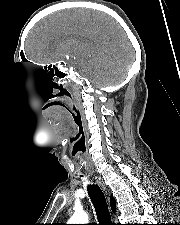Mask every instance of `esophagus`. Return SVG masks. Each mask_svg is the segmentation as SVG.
Wrapping results in <instances>:
<instances>
[{
  "instance_id": "esophagus-1",
  "label": "esophagus",
  "mask_w": 180,
  "mask_h": 225,
  "mask_svg": "<svg viewBox=\"0 0 180 225\" xmlns=\"http://www.w3.org/2000/svg\"><path fill=\"white\" fill-rule=\"evenodd\" d=\"M96 179H97V182L100 184V186L103 188V190H104V192L106 193V195H108L106 186L104 185V183H103V181L101 180V178L96 177Z\"/></svg>"
}]
</instances>
